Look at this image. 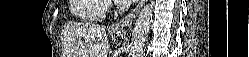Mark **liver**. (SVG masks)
Returning <instances> with one entry per match:
<instances>
[{
    "label": "liver",
    "mask_w": 249,
    "mask_h": 57,
    "mask_svg": "<svg viewBox=\"0 0 249 57\" xmlns=\"http://www.w3.org/2000/svg\"><path fill=\"white\" fill-rule=\"evenodd\" d=\"M69 57H107L110 44L106 31L92 23H69L64 27Z\"/></svg>",
    "instance_id": "obj_1"
}]
</instances>
